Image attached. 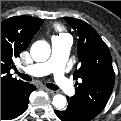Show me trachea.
Here are the masks:
<instances>
[{
    "instance_id": "obj_1",
    "label": "trachea",
    "mask_w": 121,
    "mask_h": 121,
    "mask_svg": "<svg viewBox=\"0 0 121 121\" xmlns=\"http://www.w3.org/2000/svg\"><path fill=\"white\" fill-rule=\"evenodd\" d=\"M16 73L23 79V80H26V81H31L32 80V77L27 75V74H22V73H19L18 71H16ZM46 86L52 90H58L59 87L52 84V83H47Z\"/></svg>"
}]
</instances>
